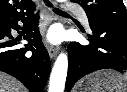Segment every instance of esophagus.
Returning <instances> with one entry per match:
<instances>
[{"mask_svg":"<svg viewBox=\"0 0 127 92\" xmlns=\"http://www.w3.org/2000/svg\"><path fill=\"white\" fill-rule=\"evenodd\" d=\"M47 50L51 59H54L57 55L58 48L52 45H47Z\"/></svg>","mask_w":127,"mask_h":92,"instance_id":"1","label":"esophagus"}]
</instances>
